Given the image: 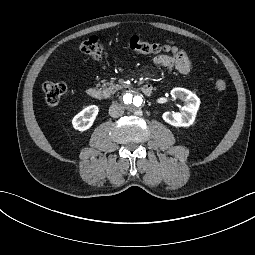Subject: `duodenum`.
<instances>
[{
	"mask_svg": "<svg viewBox=\"0 0 255 255\" xmlns=\"http://www.w3.org/2000/svg\"><path fill=\"white\" fill-rule=\"evenodd\" d=\"M142 92L145 95H150L153 91V87L151 84L142 85ZM87 95L94 100H102L104 98V93L97 87H90L87 89Z\"/></svg>",
	"mask_w": 255,
	"mask_h": 255,
	"instance_id": "1",
	"label": "duodenum"
}]
</instances>
